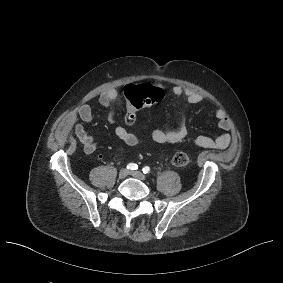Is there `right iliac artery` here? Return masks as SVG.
Instances as JSON below:
<instances>
[{
  "mask_svg": "<svg viewBox=\"0 0 283 283\" xmlns=\"http://www.w3.org/2000/svg\"><path fill=\"white\" fill-rule=\"evenodd\" d=\"M127 169H129V170H136V169H138V165L135 164V163H129L127 165Z\"/></svg>",
  "mask_w": 283,
  "mask_h": 283,
  "instance_id": "82829eb1",
  "label": "right iliac artery"
}]
</instances>
